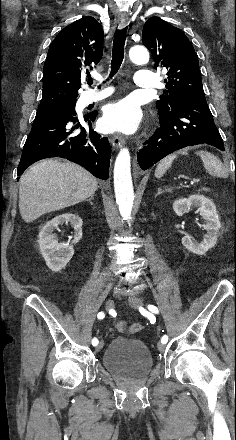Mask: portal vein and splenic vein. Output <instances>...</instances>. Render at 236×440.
<instances>
[{
	"label": "portal vein and splenic vein",
	"instance_id": "1",
	"mask_svg": "<svg viewBox=\"0 0 236 440\" xmlns=\"http://www.w3.org/2000/svg\"><path fill=\"white\" fill-rule=\"evenodd\" d=\"M200 181V179L199 178H196V179H194V182H199Z\"/></svg>",
	"mask_w": 236,
	"mask_h": 440
}]
</instances>
